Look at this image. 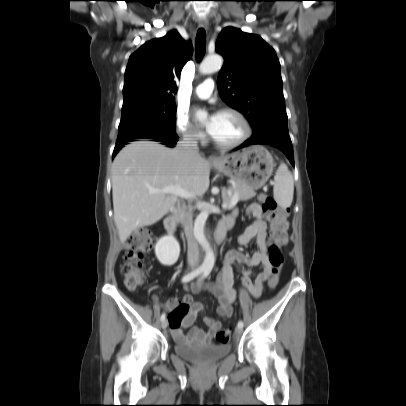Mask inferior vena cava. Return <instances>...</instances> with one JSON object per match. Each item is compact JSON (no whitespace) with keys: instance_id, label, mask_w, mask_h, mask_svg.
<instances>
[{"instance_id":"602c4592","label":"inferior vena cava","mask_w":406,"mask_h":406,"mask_svg":"<svg viewBox=\"0 0 406 406\" xmlns=\"http://www.w3.org/2000/svg\"><path fill=\"white\" fill-rule=\"evenodd\" d=\"M197 143L195 136L185 134L183 139L178 142L176 149L185 158L196 160L200 157ZM183 227L187 239V261L189 266L195 267L199 261V249L193 234V215L191 209H188L183 217Z\"/></svg>"}]
</instances>
